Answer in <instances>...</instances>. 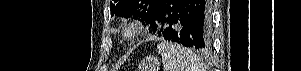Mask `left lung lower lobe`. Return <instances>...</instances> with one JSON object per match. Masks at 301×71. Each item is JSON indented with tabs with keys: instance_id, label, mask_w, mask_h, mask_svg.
<instances>
[{
	"instance_id": "1",
	"label": "left lung lower lobe",
	"mask_w": 301,
	"mask_h": 71,
	"mask_svg": "<svg viewBox=\"0 0 301 71\" xmlns=\"http://www.w3.org/2000/svg\"><path fill=\"white\" fill-rule=\"evenodd\" d=\"M210 5L209 0H162L147 24L155 33L156 22H161L158 36L206 50L211 45Z\"/></svg>"
}]
</instances>
